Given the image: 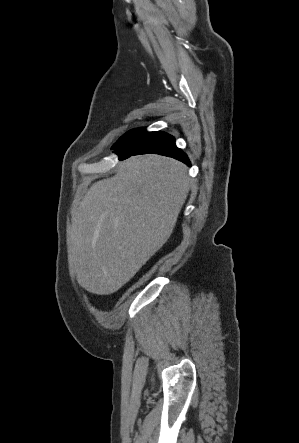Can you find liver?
Masks as SVG:
<instances>
[{"label":"liver","instance_id":"6515ba94","mask_svg":"<svg viewBox=\"0 0 299 443\" xmlns=\"http://www.w3.org/2000/svg\"><path fill=\"white\" fill-rule=\"evenodd\" d=\"M189 189L186 165L153 154L92 184L72 217L78 284L97 295L119 290L167 242Z\"/></svg>","mask_w":299,"mask_h":443}]
</instances>
